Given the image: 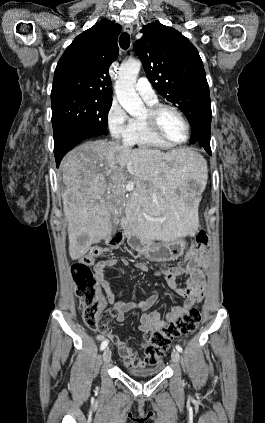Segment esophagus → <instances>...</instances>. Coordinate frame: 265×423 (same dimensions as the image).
<instances>
[{
	"instance_id": "1",
	"label": "esophagus",
	"mask_w": 265,
	"mask_h": 423,
	"mask_svg": "<svg viewBox=\"0 0 265 423\" xmlns=\"http://www.w3.org/2000/svg\"><path fill=\"white\" fill-rule=\"evenodd\" d=\"M124 31L127 32L128 34H132L133 33V27L131 24H126L124 26Z\"/></svg>"
}]
</instances>
